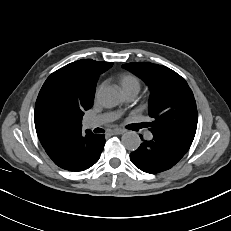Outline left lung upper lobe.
<instances>
[{"instance_id":"obj_1","label":"left lung upper lobe","mask_w":231,"mask_h":231,"mask_svg":"<svg viewBox=\"0 0 231 231\" xmlns=\"http://www.w3.org/2000/svg\"><path fill=\"white\" fill-rule=\"evenodd\" d=\"M149 85L151 132L192 144L198 113L194 95L184 78L175 71L153 63L122 66Z\"/></svg>"}]
</instances>
